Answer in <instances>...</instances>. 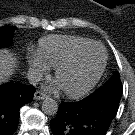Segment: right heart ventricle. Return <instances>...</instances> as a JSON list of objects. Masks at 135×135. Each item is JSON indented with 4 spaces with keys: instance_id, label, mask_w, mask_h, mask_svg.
<instances>
[{
    "instance_id": "right-heart-ventricle-1",
    "label": "right heart ventricle",
    "mask_w": 135,
    "mask_h": 135,
    "mask_svg": "<svg viewBox=\"0 0 135 135\" xmlns=\"http://www.w3.org/2000/svg\"><path fill=\"white\" fill-rule=\"evenodd\" d=\"M92 42L77 36L50 35L40 39L38 55L44 62L55 67L77 49Z\"/></svg>"
}]
</instances>
